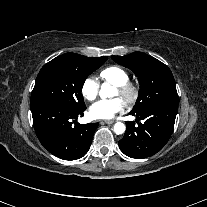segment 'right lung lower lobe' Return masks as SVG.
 Returning <instances> with one entry per match:
<instances>
[{
	"mask_svg": "<svg viewBox=\"0 0 207 207\" xmlns=\"http://www.w3.org/2000/svg\"><path fill=\"white\" fill-rule=\"evenodd\" d=\"M85 109L86 106L73 109L51 100L31 103L33 125L41 144L62 159L75 160L83 157L98 127V123H76L75 119L82 117Z\"/></svg>",
	"mask_w": 207,
	"mask_h": 207,
	"instance_id": "98d812e1",
	"label": "right lung lower lobe"
}]
</instances>
